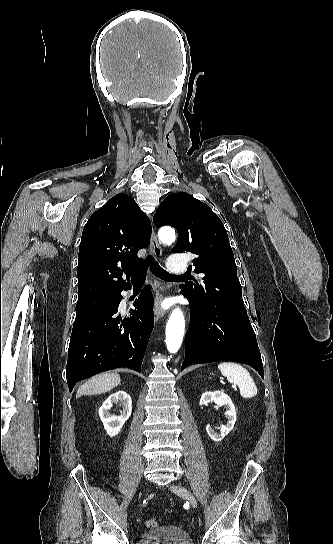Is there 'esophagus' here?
<instances>
[{
    "mask_svg": "<svg viewBox=\"0 0 333 544\" xmlns=\"http://www.w3.org/2000/svg\"><path fill=\"white\" fill-rule=\"evenodd\" d=\"M150 250L155 257L159 260L162 256V248L157 239L154 229L152 230L151 239H150ZM156 293H155V302H154V319L157 322L160 318L163 317L164 313L162 310L161 302L164 297L163 288L160 286L158 281H155Z\"/></svg>",
    "mask_w": 333,
    "mask_h": 544,
    "instance_id": "34e87169",
    "label": "esophagus"
}]
</instances>
